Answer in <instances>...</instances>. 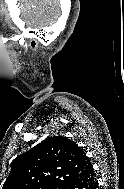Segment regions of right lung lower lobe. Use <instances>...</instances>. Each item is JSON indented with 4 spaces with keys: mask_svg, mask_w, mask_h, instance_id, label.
Returning a JSON list of instances; mask_svg holds the SVG:
<instances>
[{
    "mask_svg": "<svg viewBox=\"0 0 124 189\" xmlns=\"http://www.w3.org/2000/svg\"><path fill=\"white\" fill-rule=\"evenodd\" d=\"M98 182L92 165L78 178L67 183L63 189H98Z\"/></svg>",
    "mask_w": 124,
    "mask_h": 189,
    "instance_id": "obj_1",
    "label": "right lung lower lobe"
}]
</instances>
